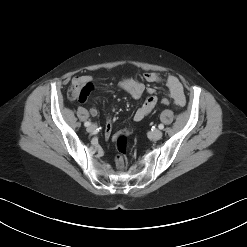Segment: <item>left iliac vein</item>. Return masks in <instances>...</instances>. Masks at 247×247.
Segmentation results:
<instances>
[{
    "instance_id": "obj_1",
    "label": "left iliac vein",
    "mask_w": 247,
    "mask_h": 247,
    "mask_svg": "<svg viewBox=\"0 0 247 247\" xmlns=\"http://www.w3.org/2000/svg\"><path fill=\"white\" fill-rule=\"evenodd\" d=\"M163 133L161 130H154L152 133H151V136L153 139H160L162 137Z\"/></svg>"
}]
</instances>
